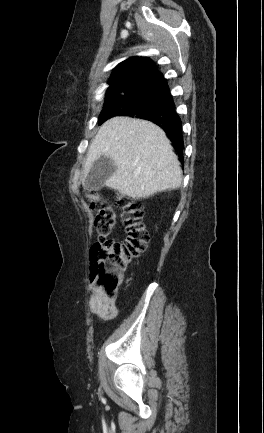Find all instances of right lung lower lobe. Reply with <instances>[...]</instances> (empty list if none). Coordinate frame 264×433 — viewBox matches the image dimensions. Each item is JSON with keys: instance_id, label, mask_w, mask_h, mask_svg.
<instances>
[{"instance_id": "obj_1", "label": "right lung lower lobe", "mask_w": 264, "mask_h": 433, "mask_svg": "<svg viewBox=\"0 0 264 433\" xmlns=\"http://www.w3.org/2000/svg\"><path fill=\"white\" fill-rule=\"evenodd\" d=\"M128 116L152 121L160 126L182 156V122L162 73L157 71L141 88L136 102L131 104Z\"/></svg>"}]
</instances>
